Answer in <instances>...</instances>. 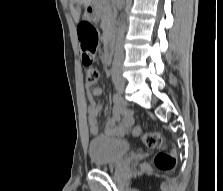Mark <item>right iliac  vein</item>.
Returning a JSON list of instances; mask_svg holds the SVG:
<instances>
[{
    "instance_id": "right-iliac-vein-1",
    "label": "right iliac vein",
    "mask_w": 223,
    "mask_h": 191,
    "mask_svg": "<svg viewBox=\"0 0 223 191\" xmlns=\"http://www.w3.org/2000/svg\"><path fill=\"white\" fill-rule=\"evenodd\" d=\"M114 86L119 93H123L125 89V81L121 80H114Z\"/></svg>"
}]
</instances>
